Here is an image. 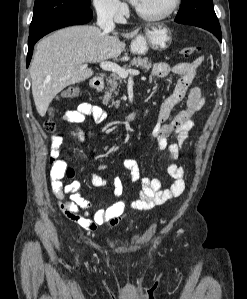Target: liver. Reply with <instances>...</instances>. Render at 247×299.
<instances>
[{
	"mask_svg": "<svg viewBox=\"0 0 247 299\" xmlns=\"http://www.w3.org/2000/svg\"><path fill=\"white\" fill-rule=\"evenodd\" d=\"M138 29L121 34L134 38ZM118 32L109 35L94 25L70 26L42 39L30 67L32 94L37 112L45 116L54 97L69 85L83 82L93 75L86 63L116 59L125 49Z\"/></svg>",
	"mask_w": 247,
	"mask_h": 299,
	"instance_id": "1",
	"label": "liver"
}]
</instances>
